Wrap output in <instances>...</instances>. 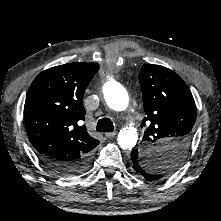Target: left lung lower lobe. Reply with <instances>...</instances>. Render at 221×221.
Wrapping results in <instances>:
<instances>
[{
  "label": "left lung lower lobe",
  "mask_w": 221,
  "mask_h": 221,
  "mask_svg": "<svg viewBox=\"0 0 221 221\" xmlns=\"http://www.w3.org/2000/svg\"><path fill=\"white\" fill-rule=\"evenodd\" d=\"M131 170L132 172L140 179H144L147 181L151 180V174L147 171V165L143 161L139 151L137 149L131 152Z\"/></svg>",
  "instance_id": "1"
}]
</instances>
